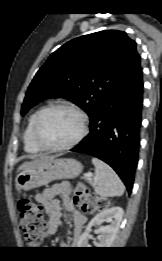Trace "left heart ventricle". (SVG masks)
Wrapping results in <instances>:
<instances>
[{
  "mask_svg": "<svg viewBox=\"0 0 162 261\" xmlns=\"http://www.w3.org/2000/svg\"><path fill=\"white\" fill-rule=\"evenodd\" d=\"M80 130L78 116L66 109H56L42 120L40 137L45 144L58 146L71 141Z\"/></svg>",
  "mask_w": 162,
  "mask_h": 261,
  "instance_id": "obj_1",
  "label": "left heart ventricle"
}]
</instances>
